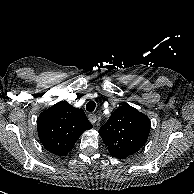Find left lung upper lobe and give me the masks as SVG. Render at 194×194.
Returning a JSON list of instances; mask_svg holds the SVG:
<instances>
[{"label": "left lung upper lobe", "mask_w": 194, "mask_h": 194, "mask_svg": "<svg viewBox=\"0 0 194 194\" xmlns=\"http://www.w3.org/2000/svg\"><path fill=\"white\" fill-rule=\"evenodd\" d=\"M150 127L146 115L125 103L113 112L99 134L111 155L124 159L144 146Z\"/></svg>", "instance_id": "obj_1"}]
</instances>
